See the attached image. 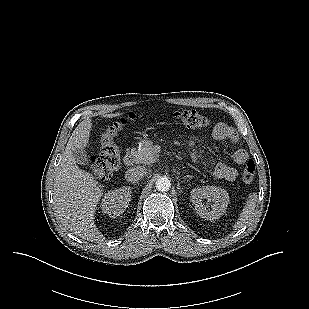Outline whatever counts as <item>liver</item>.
Masks as SVG:
<instances>
[{"label": "liver", "mask_w": 309, "mask_h": 309, "mask_svg": "<svg viewBox=\"0 0 309 309\" xmlns=\"http://www.w3.org/2000/svg\"><path fill=\"white\" fill-rule=\"evenodd\" d=\"M120 115L107 114L105 117ZM91 128V119L83 120L69 138L55 172L53 200L57 217L65 228L80 238L99 243L104 241V236L94 224V215L103 194L102 186L76 165L72 154L73 150L87 146Z\"/></svg>", "instance_id": "1"}]
</instances>
